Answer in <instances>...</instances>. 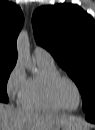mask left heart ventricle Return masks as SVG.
<instances>
[{"mask_svg":"<svg viewBox=\"0 0 95 130\" xmlns=\"http://www.w3.org/2000/svg\"><path fill=\"white\" fill-rule=\"evenodd\" d=\"M57 96L67 108L74 109L79 104V93L75 86L68 81H61L58 84Z\"/></svg>","mask_w":95,"mask_h":130,"instance_id":"1","label":"left heart ventricle"}]
</instances>
